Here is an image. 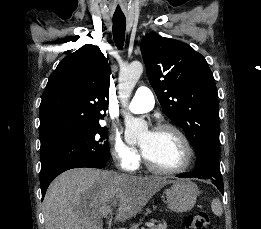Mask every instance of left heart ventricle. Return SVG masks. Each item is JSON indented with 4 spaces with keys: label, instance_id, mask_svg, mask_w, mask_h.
Masks as SVG:
<instances>
[{
    "label": "left heart ventricle",
    "instance_id": "obj_1",
    "mask_svg": "<svg viewBox=\"0 0 261 229\" xmlns=\"http://www.w3.org/2000/svg\"><path fill=\"white\" fill-rule=\"evenodd\" d=\"M139 142L146 158L157 167L176 168L183 161L181 142L170 131L146 132Z\"/></svg>",
    "mask_w": 261,
    "mask_h": 229
}]
</instances>
